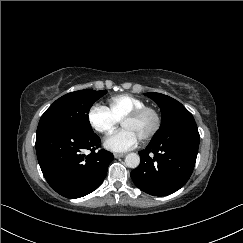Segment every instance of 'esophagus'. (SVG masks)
<instances>
[{"mask_svg": "<svg viewBox=\"0 0 243 243\" xmlns=\"http://www.w3.org/2000/svg\"><path fill=\"white\" fill-rule=\"evenodd\" d=\"M124 156H125L124 153H114L115 158H121V157H124Z\"/></svg>", "mask_w": 243, "mask_h": 243, "instance_id": "obj_1", "label": "esophagus"}]
</instances>
